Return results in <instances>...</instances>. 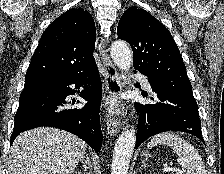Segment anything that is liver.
<instances>
[{"instance_id": "1", "label": "liver", "mask_w": 224, "mask_h": 174, "mask_svg": "<svg viewBox=\"0 0 224 174\" xmlns=\"http://www.w3.org/2000/svg\"><path fill=\"white\" fill-rule=\"evenodd\" d=\"M86 143L76 135L52 127H38L14 140L9 174H72L84 156Z\"/></svg>"}]
</instances>
